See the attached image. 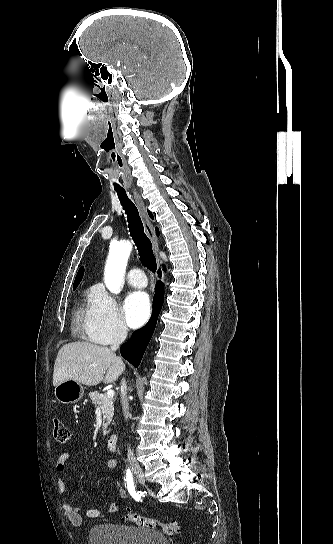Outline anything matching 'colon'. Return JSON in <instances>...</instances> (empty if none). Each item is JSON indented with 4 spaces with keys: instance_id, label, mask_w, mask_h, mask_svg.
<instances>
[{
    "instance_id": "1",
    "label": "colon",
    "mask_w": 333,
    "mask_h": 544,
    "mask_svg": "<svg viewBox=\"0 0 333 544\" xmlns=\"http://www.w3.org/2000/svg\"><path fill=\"white\" fill-rule=\"evenodd\" d=\"M53 436L59 443H66L71 437L69 428L59 419H55L53 422ZM123 520L131 522L145 528H159L168 535H173L180 531V527L177 522L169 521L162 522L150 517L140 516L133 512H125L122 515Z\"/></svg>"
}]
</instances>
